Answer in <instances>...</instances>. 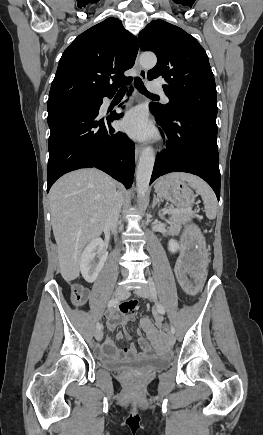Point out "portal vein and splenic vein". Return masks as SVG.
<instances>
[{
	"label": "portal vein and splenic vein",
	"mask_w": 263,
	"mask_h": 435,
	"mask_svg": "<svg viewBox=\"0 0 263 435\" xmlns=\"http://www.w3.org/2000/svg\"><path fill=\"white\" fill-rule=\"evenodd\" d=\"M191 207H188V208H186V209H176L177 211H186V212H189V211H191Z\"/></svg>",
	"instance_id": "18ae733b"
}]
</instances>
